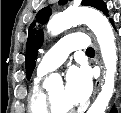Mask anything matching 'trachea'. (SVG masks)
Segmentation results:
<instances>
[{"label": "trachea", "mask_w": 121, "mask_h": 113, "mask_svg": "<svg viewBox=\"0 0 121 113\" xmlns=\"http://www.w3.org/2000/svg\"><path fill=\"white\" fill-rule=\"evenodd\" d=\"M86 53H94V49L92 47H89L87 50H86Z\"/></svg>", "instance_id": "1"}]
</instances>
